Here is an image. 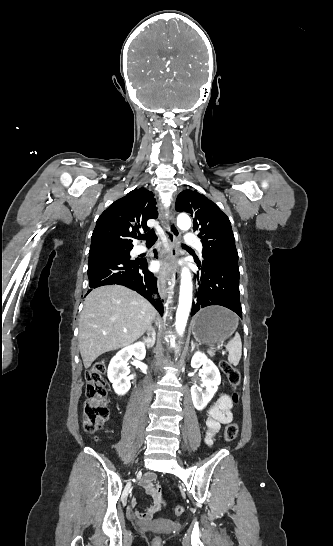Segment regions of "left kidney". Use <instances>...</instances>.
Instances as JSON below:
<instances>
[{
  "mask_svg": "<svg viewBox=\"0 0 333 546\" xmlns=\"http://www.w3.org/2000/svg\"><path fill=\"white\" fill-rule=\"evenodd\" d=\"M192 368H200L202 384L205 386L204 392H199L198 387H191V397L194 407L201 411L208 402L213 398L221 383V376L217 366L207 358L204 353L196 352L191 360Z\"/></svg>",
  "mask_w": 333,
  "mask_h": 546,
  "instance_id": "left-kidney-1",
  "label": "left kidney"
}]
</instances>
